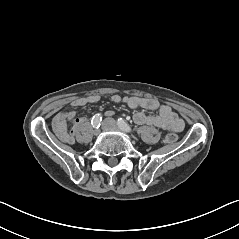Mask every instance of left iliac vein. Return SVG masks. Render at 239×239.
Instances as JSON below:
<instances>
[{
    "mask_svg": "<svg viewBox=\"0 0 239 239\" xmlns=\"http://www.w3.org/2000/svg\"><path fill=\"white\" fill-rule=\"evenodd\" d=\"M105 122L109 123L111 129H117L118 128L117 123L115 122V120H113L111 118L106 119Z\"/></svg>",
    "mask_w": 239,
    "mask_h": 239,
    "instance_id": "1",
    "label": "left iliac vein"
}]
</instances>
